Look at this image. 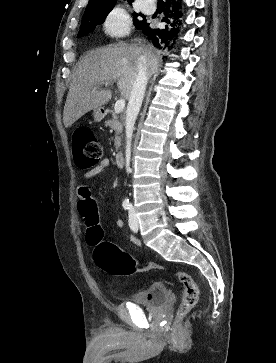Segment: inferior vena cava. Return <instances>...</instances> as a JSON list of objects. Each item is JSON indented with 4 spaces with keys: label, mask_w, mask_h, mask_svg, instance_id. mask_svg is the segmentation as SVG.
Returning <instances> with one entry per match:
<instances>
[{
    "label": "inferior vena cava",
    "mask_w": 276,
    "mask_h": 363,
    "mask_svg": "<svg viewBox=\"0 0 276 363\" xmlns=\"http://www.w3.org/2000/svg\"><path fill=\"white\" fill-rule=\"evenodd\" d=\"M148 81L147 67L142 61L138 63V73L132 86V90L129 97V102L126 110V170L130 171V156H131V139L134 129V124L137 115L142 105L146 85Z\"/></svg>",
    "instance_id": "inferior-vena-cava-1"
}]
</instances>
